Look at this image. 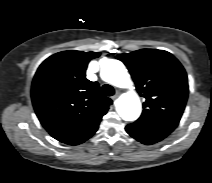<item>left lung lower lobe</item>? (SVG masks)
<instances>
[{"label":"left lung lower lobe","instance_id":"left-lung-lower-lobe-1","mask_svg":"<svg viewBox=\"0 0 212 183\" xmlns=\"http://www.w3.org/2000/svg\"><path fill=\"white\" fill-rule=\"evenodd\" d=\"M127 133L143 144H154L169 135L168 132L132 123L126 126Z\"/></svg>","mask_w":212,"mask_h":183}]
</instances>
